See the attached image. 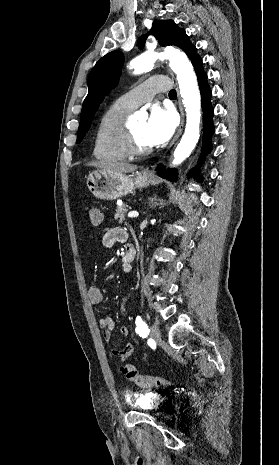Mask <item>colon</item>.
<instances>
[{
  "instance_id": "colon-1",
  "label": "colon",
  "mask_w": 279,
  "mask_h": 465,
  "mask_svg": "<svg viewBox=\"0 0 279 465\" xmlns=\"http://www.w3.org/2000/svg\"><path fill=\"white\" fill-rule=\"evenodd\" d=\"M89 218L94 226H101L103 223V215L98 207H91L89 209ZM121 371L129 381L142 388H164L172 384V382L166 378L140 374L131 364L122 366Z\"/></svg>"
}]
</instances>
